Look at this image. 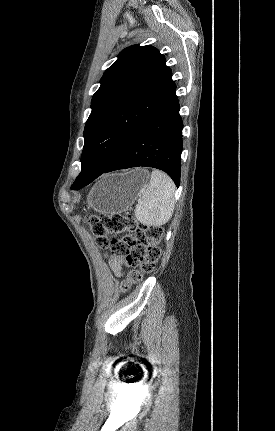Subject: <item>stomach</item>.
<instances>
[{"mask_svg": "<svg viewBox=\"0 0 275 431\" xmlns=\"http://www.w3.org/2000/svg\"><path fill=\"white\" fill-rule=\"evenodd\" d=\"M148 179L149 173L145 169L106 175L90 192L88 206L104 214L123 212L140 196Z\"/></svg>", "mask_w": 275, "mask_h": 431, "instance_id": "0dacf381", "label": "stomach"}]
</instances>
